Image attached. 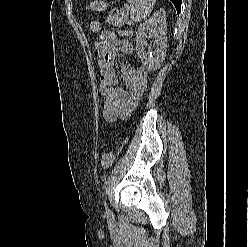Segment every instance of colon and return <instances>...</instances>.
Returning a JSON list of instances; mask_svg holds the SVG:
<instances>
[{"label": "colon", "instance_id": "1", "mask_svg": "<svg viewBox=\"0 0 248 247\" xmlns=\"http://www.w3.org/2000/svg\"><path fill=\"white\" fill-rule=\"evenodd\" d=\"M91 30L95 33L101 30V24L99 21H93L91 23ZM147 88V72L143 67H140L136 74V81L134 84V93L136 96L141 97Z\"/></svg>", "mask_w": 248, "mask_h": 247}]
</instances>
